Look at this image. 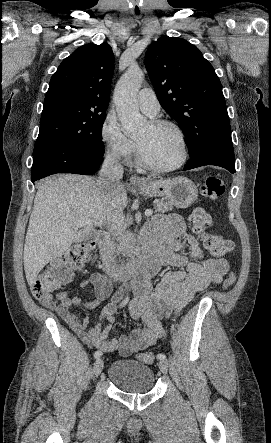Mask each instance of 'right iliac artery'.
I'll return each mask as SVG.
<instances>
[{
    "instance_id": "82829eb1",
    "label": "right iliac artery",
    "mask_w": 271,
    "mask_h": 443,
    "mask_svg": "<svg viewBox=\"0 0 271 443\" xmlns=\"http://www.w3.org/2000/svg\"><path fill=\"white\" fill-rule=\"evenodd\" d=\"M129 301V297L127 296L121 303H120V307L125 306ZM102 356V351L98 350L94 353V358L98 359Z\"/></svg>"
}]
</instances>
